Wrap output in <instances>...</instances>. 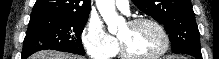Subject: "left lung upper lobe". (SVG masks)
<instances>
[{
	"instance_id": "obj_1",
	"label": "left lung upper lobe",
	"mask_w": 219,
	"mask_h": 59,
	"mask_svg": "<svg viewBox=\"0 0 219 59\" xmlns=\"http://www.w3.org/2000/svg\"><path fill=\"white\" fill-rule=\"evenodd\" d=\"M144 13L163 23L171 40L172 52L200 48V33L191 0H133Z\"/></svg>"
}]
</instances>
